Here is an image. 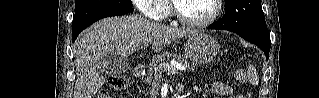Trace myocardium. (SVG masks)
<instances>
[{"label": "myocardium", "instance_id": "obj_1", "mask_svg": "<svg viewBox=\"0 0 319 98\" xmlns=\"http://www.w3.org/2000/svg\"><path fill=\"white\" fill-rule=\"evenodd\" d=\"M214 2V11L213 13L206 19L204 20H191L186 18L185 16H183L178 8V4L176 3V1H171V5H172V13L174 15V17L183 25L191 27V28H203V27H207L209 25H211L212 23H214L217 18L220 16L221 11H222V0H213Z\"/></svg>", "mask_w": 319, "mask_h": 98}]
</instances>
